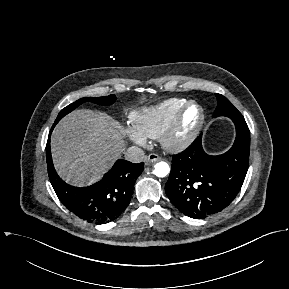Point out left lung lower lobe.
Masks as SVG:
<instances>
[{
    "label": "left lung lower lobe",
    "instance_id": "left-lung-lower-lobe-1",
    "mask_svg": "<svg viewBox=\"0 0 289 289\" xmlns=\"http://www.w3.org/2000/svg\"><path fill=\"white\" fill-rule=\"evenodd\" d=\"M233 122L236 138L226 153L206 154L200 135L184 152L172 156L165 192L186 216L203 219L215 214L240 191L248 170L250 132L245 120Z\"/></svg>",
    "mask_w": 289,
    "mask_h": 289
}]
</instances>
